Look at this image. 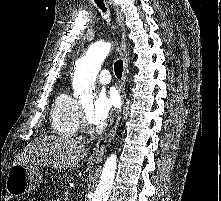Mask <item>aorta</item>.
Listing matches in <instances>:
<instances>
[{"instance_id": "obj_1", "label": "aorta", "mask_w": 221, "mask_h": 201, "mask_svg": "<svg viewBox=\"0 0 221 201\" xmlns=\"http://www.w3.org/2000/svg\"><path fill=\"white\" fill-rule=\"evenodd\" d=\"M111 50L109 42H98L91 45L75 71L73 89L79 98L91 96L95 89L94 82L101 69L102 62ZM117 167V156L111 154L103 166L99 184L92 201H107L113 187Z\"/></svg>"}]
</instances>
